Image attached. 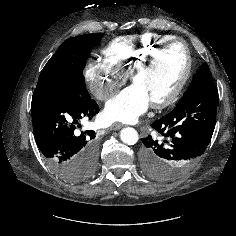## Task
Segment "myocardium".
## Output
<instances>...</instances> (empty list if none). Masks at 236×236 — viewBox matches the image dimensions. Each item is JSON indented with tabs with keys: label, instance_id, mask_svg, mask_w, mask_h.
<instances>
[{
	"label": "myocardium",
	"instance_id": "1",
	"mask_svg": "<svg viewBox=\"0 0 236 236\" xmlns=\"http://www.w3.org/2000/svg\"><path fill=\"white\" fill-rule=\"evenodd\" d=\"M180 44L183 47L185 55V69L182 77L173 88V90L164 98L151 102L153 108L162 109L172 104L183 91L187 84L192 70V58L186 42L181 38H172L157 46L143 61H141L130 73V80L133 82L137 76L148 70L158 57L170 46Z\"/></svg>",
	"mask_w": 236,
	"mask_h": 236
}]
</instances>
